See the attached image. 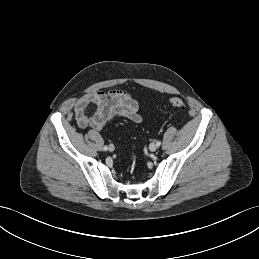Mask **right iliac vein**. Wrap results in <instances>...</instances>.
I'll return each instance as SVG.
<instances>
[{"label": "right iliac vein", "instance_id": "right-iliac-vein-1", "mask_svg": "<svg viewBox=\"0 0 259 259\" xmlns=\"http://www.w3.org/2000/svg\"><path fill=\"white\" fill-rule=\"evenodd\" d=\"M109 151H110V152H113V151H114V146H113V145H110V146H109Z\"/></svg>", "mask_w": 259, "mask_h": 259}]
</instances>
